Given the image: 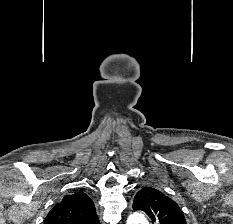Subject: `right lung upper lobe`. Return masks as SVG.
Returning <instances> with one entry per match:
<instances>
[{"label":"right lung upper lobe","mask_w":233,"mask_h":224,"mask_svg":"<svg viewBox=\"0 0 233 224\" xmlns=\"http://www.w3.org/2000/svg\"><path fill=\"white\" fill-rule=\"evenodd\" d=\"M44 224H100L92 200L82 191L65 196L48 213Z\"/></svg>","instance_id":"obj_1"}]
</instances>
